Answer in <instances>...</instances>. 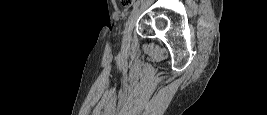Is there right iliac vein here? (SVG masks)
<instances>
[{
  "instance_id": "1",
  "label": "right iliac vein",
  "mask_w": 267,
  "mask_h": 115,
  "mask_svg": "<svg viewBox=\"0 0 267 115\" xmlns=\"http://www.w3.org/2000/svg\"><path fill=\"white\" fill-rule=\"evenodd\" d=\"M138 11L137 10H135L133 13H132V15H131V17H130V19H129V21L127 22V25H126V27H125V30H124V36H123V40H128L129 38H130V35H131V33H132V30H133V27H134V23H135V21L137 20V18H138Z\"/></svg>"
}]
</instances>
